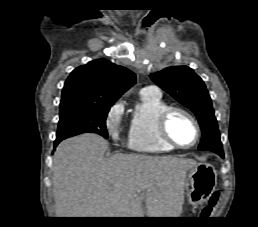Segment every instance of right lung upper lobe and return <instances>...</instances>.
<instances>
[{
  "label": "right lung upper lobe",
  "instance_id": "right-lung-upper-lobe-1",
  "mask_svg": "<svg viewBox=\"0 0 258 227\" xmlns=\"http://www.w3.org/2000/svg\"><path fill=\"white\" fill-rule=\"evenodd\" d=\"M135 83L136 76L129 69L98 59L71 72L63 87L62 100L113 105Z\"/></svg>",
  "mask_w": 258,
  "mask_h": 227
}]
</instances>
